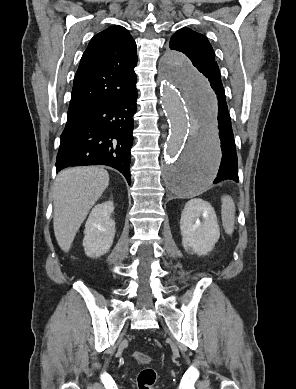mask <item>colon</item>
<instances>
[{
    "mask_svg": "<svg viewBox=\"0 0 296 389\" xmlns=\"http://www.w3.org/2000/svg\"><path fill=\"white\" fill-rule=\"evenodd\" d=\"M134 359L141 364H149L152 358L142 352L133 353ZM157 380V372L151 367L142 369L137 377L138 389H153Z\"/></svg>",
    "mask_w": 296,
    "mask_h": 389,
    "instance_id": "1",
    "label": "colon"
}]
</instances>
